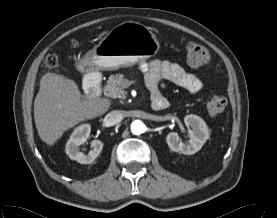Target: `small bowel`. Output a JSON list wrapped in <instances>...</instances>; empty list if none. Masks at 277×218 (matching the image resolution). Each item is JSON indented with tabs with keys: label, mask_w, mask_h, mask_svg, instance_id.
I'll list each match as a JSON object with an SVG mask.
<instances>
[{
	"label": "small bowel",
	"mask_w": 277,
	"mask_h": 218,
	"mask_svg": "<svg viewBox=\"0 0 277 218\" xmlns=\"http://www.w3.org/2000/svg\"><path fill=\"white\" fill-rule=\"evenodd\" d=\"M145 73V83L151 94L152 107L156 110L158 98L166 100L159 91V81L166 79L190 93H199L203 84L199 77L187 72L182 66L168 60H152L142 64ZM159 111V110H158Z\"/></svg>",
	"instance_id": "small-bowel-1"
}]
</instances>
